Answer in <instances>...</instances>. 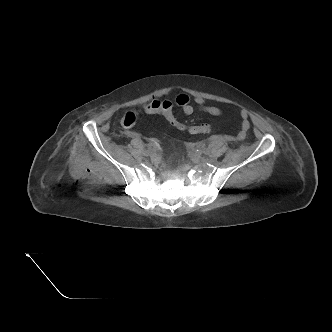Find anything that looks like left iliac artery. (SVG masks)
<instances>
[{
  "label": "left iliac artery",
  "instance_id": "obj_1",
  "mask_svg": "<svg viewBox=\"0 0 332 332\" xmlns=\"http://www.w3.org/2000/svg\"><path fill=\"white\" fill-rule=\"evenodd\" d=\"M196 153L199 154V155H202V154L208 155L209 154L208 150L202 149V148L197 149Z\"/></svg>",
  "mask_w": 332,
  "mask_h": 332
}]
</instances>
